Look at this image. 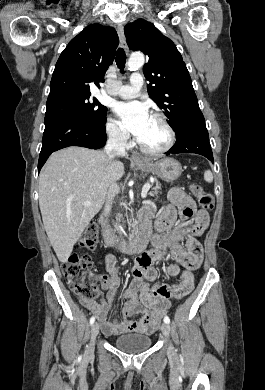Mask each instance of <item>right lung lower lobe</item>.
<instances>
[{
	"label": "right lung lower lobe",
	"mask_w": 265,
	"mask_h": 390,
	"mask_svg": "<svg viewBox=\"0 0 265 390\" xmlns=\"http://www.w3.org/2000/svg\"><path fill=\"white\" fill-rule=\"evenodd\" d=\"M105 123L106 121L102 124H94L68 114L46 115L38 172L48 157L59 149L68 146L102 148L107 140Z\"/></svg>",
	"instance_id": "obj_1"
}]
</instances>
